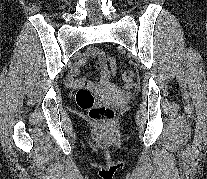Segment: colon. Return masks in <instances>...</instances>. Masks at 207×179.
Segmentation results:
<instances>
[{"mask_svg":"<svg viewBox=\"0 0 207 179\" xmlns=\"http://www.w3.org/2000/svg\"><path fill=\"white\" fill-rule=\"evenodd\" d=\"M100 67V64H97ZM133 72L126 71L122 74V82L124 85H131L133 81ZM76 102L77 105L88 111L89 117L98 125L101 126H111L115 119L114 110L102 103H98L92 92L87 88H80L76 92Z\"/></svg>","mask_w":207,"mask_h":179,"instance_id":"obj_1","label":"colon"}]
</instances>
